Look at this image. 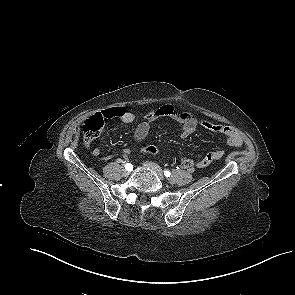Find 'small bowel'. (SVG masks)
Here are the masks:
<instances>
[{"mask_svg": "<svg viewBox=\"0 0 295 295\" xmlns=\"http://www.w3.org/2000/svg\"><path fill=\"white\" fill-rule=\"evenodd\" d=\"M99 115L104 120L118 119L122 123H132L135 120V115L128 111L125 107L117 106L102 110ZM169 117L181 124L179 135L182 139H186L195 133L198 126L204 129L221 134L226 137L227 143L233 147H240L242 145V138L240 135L230 126L213 123L208 120L198 119L189 111L180 110L173 105L166 104L158 108H152L147 110L144 116V120L140 122L135 131L134 139L136 141H143L146 139L152 124L159 118ZM129 149L123 150V157L129 155ZM101 154L99 149H94L93 155L99 157ZM224 152L216 150L207 153L202 159L195 161L189 158H181V167L193 171L198 168H205L210 165L213 161L220 159Z\"/></svg>", "mask_w": 295, "mask_h": 295, "instance_id": "1", "label": "small bowel"}]
</instances>
